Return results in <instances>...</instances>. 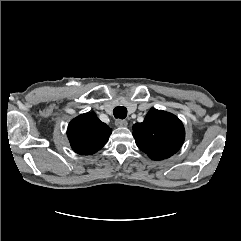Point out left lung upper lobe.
Listing matches in <instances>:
<instances>
[{"label":"left lung upper lobe","mask_w":241,"mask_h":241,"mask_svg":"<svg viewBox=\"0 0 241 241\" xmlns=\"http://www.w3.org/2000/svg\"><path fill=\"white\" fill-rule=\"evenodd\" d=\"M133 136L140 150L153 160H163L180 149L185 130L175 115L151 108L142 123L133 125Z\"/></svg>","instance_id":"obj_1"}]
</instances>
